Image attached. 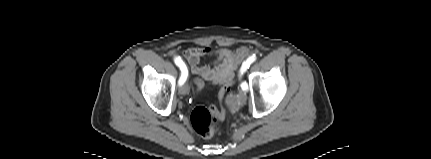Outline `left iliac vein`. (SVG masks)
Wrapping results in <instances>:
<instances>
[{
	"mask_svg": "<svg viewBox=\"0 0 431 159\" xmlns=\"http://www.w3.org/2000/svg\"><path fill=\"white\" fill-rule=\"evenodd\" d=\"M246 100H247V96H246L245 91L239 90L238 91V101H239V103L244 104L246 102Z\"/></svg>",
	"mask_w": 431,
	"mask_h": 159,
	"instance_id": "1",
	"label": "left iliac vein"
}]
</instances>
